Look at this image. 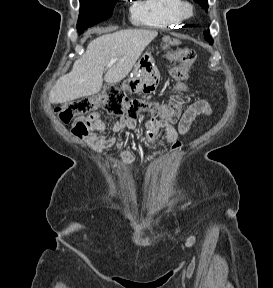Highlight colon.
Masks as SVG:
<instances>
[{"label": "colon", "mask_w": 273, "mask_h": 288, "mask_svg": "<svg viewBox=\"0 0 273 288\" xmlns=\"http://www.w3.org/2000/svg\"><path fill=\"white\" fill-rule=\"evenodd\" d=\"M171 59L179 61V66L173 69L172 75L178 81L188 78L189 72L196 62V52L190 48H180L169 54ZM102 104L111 114L134 115L139 110H147L154 117L176 122L180 117V106L176 103L163 105L157 102L142 106L124 98L120 90L108 89L102 97H85L71 101L55 110L63 123L74 122L72 132L78 137L86 136L92 127L91 116L93 111Z\"/></svg>", "instance_id": "obj_1"}]
</instances>
